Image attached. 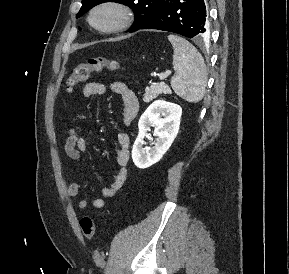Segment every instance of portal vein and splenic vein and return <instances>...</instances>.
Returning a JSON list of instances; mask_svg holds the SVG:
<instances>
[{
  "mask_svg": "<svg viewBox=\"0 0 289 274\" xmlns=\"http://www.w3.org/2000/svg\"><path fill=\"white\" fill-rule=\"evenodd\" d=\"M168 75H169V73H162V74L159 75V79L160 80H164V79H166L168 77Z\"/></svg>",
  "mask_w": 289,
  "mask_h": 274,
  "instance_id": "1",
  "label": "portal vein and splenic vein"
}]
</instances>
